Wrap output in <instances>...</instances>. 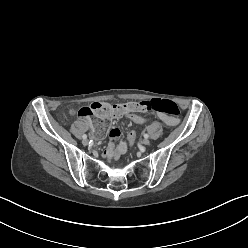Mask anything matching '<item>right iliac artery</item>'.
<instances>
[{
	"label": "right iliac artery",
	"mask_w": 248,
	"mask_h": 248,
	"mask_svg": "<svg viewBox=\"0 0 248 248\" xmlns=\"http://www.w3.org/2000/svg\"><path fill=\"white\" fill-rule=\"evenodd\" d=\"M82 138H83V139H87V135L84 134V135L82 136Z\"/></svg>",
	"instance_id": "right-iliac-artery-1"
}]
</instances>
